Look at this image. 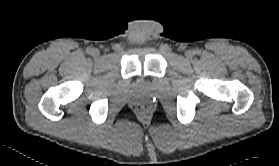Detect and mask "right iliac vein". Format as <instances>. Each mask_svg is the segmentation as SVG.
<instances>
[{
	"mask_svg": "<svg viewBox=\"0 0 279 166\" xmlns=\"http://www.w3.org/2000/svg\"><path fill=\"white\" fill-rule=\"evenodd\" d=\"M92 54H93V56L97 57V56H99L100 52L98 49H93Z\"/></svg>",
	"mask_w": 279,
	"mask_h": 166,
	"instance_id": "63e3f726",
	"label": "right iliac vein"
}]
</instances>
